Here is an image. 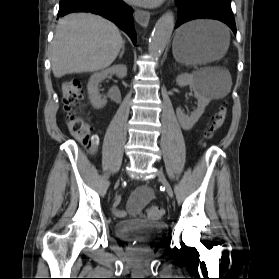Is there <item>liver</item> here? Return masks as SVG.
Returning <instances> with one entry per match:
<instances>
[{
  "label": "liver",
  "instance_id": "1",
  "mask_svg": "<svg viewBox=\"0 0 279 279\" xmlns=\"http://www.w3.org/2000/svg\"><path fill=\"white\" fill-rule=\"evenodd\" d=\"M123 40L110 21L89 13H74L59 20L51 48L56 78L66 74L95 72L110 66Z\"/></svg>",
  "mask_w": 279,
  "mask_h": 279
}]
</instances>
